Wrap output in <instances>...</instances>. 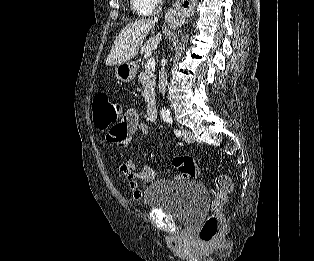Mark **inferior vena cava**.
Returning <instances> with one entry per match:
<instances>
[{
    "instance_id": "602c4592",
    "label": "inferior vena cava",
    "mask_w": 314,
    "mask_h": 261,
    "mask_svg": "<svg viewBox=\"0 0 314 261\" xmlns=\"http://www.w3.org/2000/svg\"><path fill=\"white\" fill-rule=\"evenodd\" d=\"M166 86H167V73L165 71V67L162 66L161 71L159 72L158 87L163 96L166 92Z\"/></svg>"
}]
</instances>
